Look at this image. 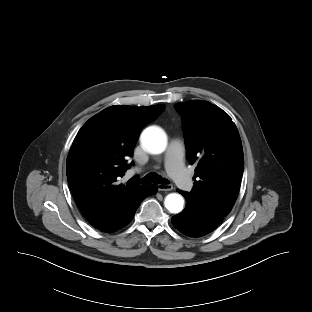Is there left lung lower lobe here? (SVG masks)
Masks as SVG:
<instances>
[{"label": "left lung lower lobe", "mask_w": 312, "mask_h": 312, "mask_svg": "<svg viewBox=\"0 0 312 312\" xmlns=\"http://www.w3.org/2000/svg\"><path fill=\"white\" fill-rule=\"evenodd\" d=\"M186 199V208L172 217V224L180 232L190 237H200L212 232L223 220L221 216L194 203L179 191Z\"/></svg>", "instance_id": "0a47b994"}]
</instances>
